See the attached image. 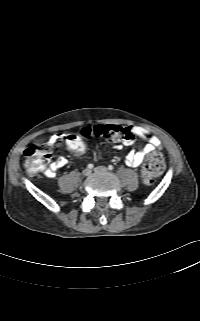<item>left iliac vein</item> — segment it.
Masks as SVG:
<instances>
[{
	"label": "left iliac vein",
	"instance_id": "obj_1",
	"mask_svg": "<svg viewBox=\"0 0 200 321\" xmlns=\"http://www.w3.org/2000/svg\"><path fill=\"white\" fill-rule=\"evenodd\" d=\"M94 171L97 172V173L98 172H106L107 168L104 167V166H98V167L94 168Z\"/></svg>",
	"mask_w": 200,
	"mask_h": 321
}]
</instances>
